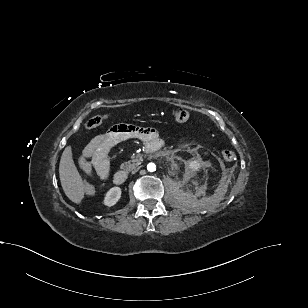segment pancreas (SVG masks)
I'll return each instance as SVG.
<instances>
[{"mask_svg":"<svg viewBox=\"0 0 308 308\" xmlns=\"http://www.w3.org/2000/svg\"><path fill=\"white\" fill-rule=\"evenodd\" d=\"M141 158H133L131 161L125 162L121 164V168L126 171H131L132 169L136 168L141 163Z\"/></svg>","mask_w":308,"mask_h":308,"instance_id":"cf45deb5","label":"pancreas"}]
</instances>
